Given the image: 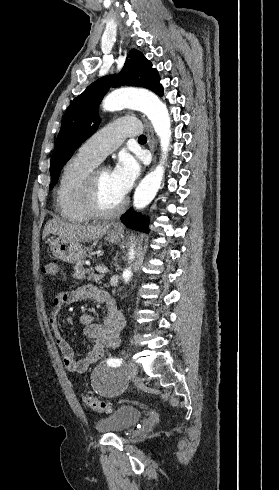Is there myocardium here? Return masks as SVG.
Segmentation results:
<instances>
[{
  "instance_id": "1",
  "label": "myocardium",
  "mask_w": 279,
  "mask_h": 490,
  "mask_svg": "<svg viewBox=\"0 0 279 490\" xmlns=\"http://www.w3.org/2000/svg\"><path fill=\"white\" fill-rule=\"evenodd\" d=\"M102 169H94L88 180L87 193L85 203L88 212L92 217L111 218L118 215L125 207V200L121 201L111 208H106L102 205L100 199V183L99 174Z\"/></svg>"
}]
</instances>
